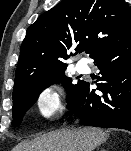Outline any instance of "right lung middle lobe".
Segmentation results:
<instances>
[{"instance_id": "1", "label": "right lung middle lobe", "mask_w": 131, "mask_h": 151, "mask_svg": "<svg viewBox=\"0 0 131 151\" xmlns=\"http://www.w3.org/2000/svg\"><path fill=\"white\" fill-rule=\"evenodd\" d=\"M66 67L42 74L28 84L13 89V125L19 126L26 111L35 103L43 89L49 87L51 83H64L68 92L69 100L77 87L72 83V79L64 75Z\"/></svg>"}]
</instances>
